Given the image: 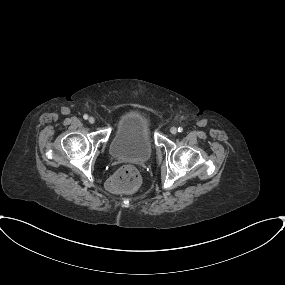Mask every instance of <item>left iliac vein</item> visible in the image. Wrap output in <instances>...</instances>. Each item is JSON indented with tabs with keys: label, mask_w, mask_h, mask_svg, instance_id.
Here are the masks:
<instances>
[{
	"label": "left iliac vein",
	"mask_w": 285,
	"mask_h": 285,
	"mask_svg": "<svg viewBox=\"0 0 285 285\" xmlns=\"http://www.w3.org/2000/svg\"><path fill=\"white\" fill-rule=\"evenodd\" d=\"M170 132L172 134H176L177 133V128L176 127H171Z\"/></svg>",
	"instance_id": "obj_1"
}]
</instances>
